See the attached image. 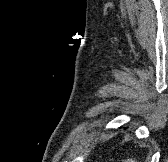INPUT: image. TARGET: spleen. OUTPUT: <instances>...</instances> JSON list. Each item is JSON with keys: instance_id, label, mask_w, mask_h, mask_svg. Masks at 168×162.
I'll list each match as a JSON object with an SVG mask.
<instances>
[{"instance_id": "spleen-1", "label": "spleen", "mask_w": 168, "mask_h": 162, "mask_svg": "<svg viewBox=\"0 0 168 162\" xmlns=\"http://www.w3.org/2000/svg\"><path fill=\"white\" fill-rule=\"evenodd\" d=\"M122 162H137L135 159H132V158H128Z\"/></svg>"}]
</instances>
